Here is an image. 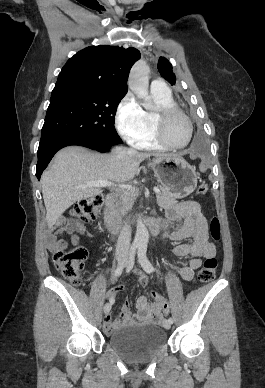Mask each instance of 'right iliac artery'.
<instances>
[{"instance_id": "obj_1", "label": "right iliac artery", "mask_w": 265, "mask_h": 388, "mask_svg": "<svg viewBox=\"0 0 265 388\" xmlns=\"http://www.w3.org/2000/svg\"><path fill=\"white\" fill-rule=\"evenodd\" d=\"M137 248H138V245H136V244H133V245L131 246V248H130V252H129V262H130L131 264L134 263V258H135V253H136V249H137ZM123 269H124V266H123V265H119V266L116 268L115 272H114V276H115V277H119V276L122 274ZM110 303H113V301L110 300Z\"/></svg>"}]
</instances>
